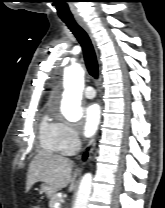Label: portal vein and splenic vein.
<instances>
[{
	"instance_id": "obj_1",
	"label": "portal vein and splenic vein",
	"mask_w": 165,
	"mask_h": 208,
	"mask_svg": "<svg viewBox=\"0 0 165 208\" xmlns=\"http://www.w3.org/2000/svg\"><path fill=\"white\" fill-rule=\"evenodd\" d=\"M54 208H60V203H56Z\"/></svg>"
}]
</instances>
